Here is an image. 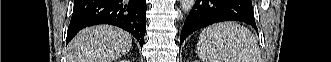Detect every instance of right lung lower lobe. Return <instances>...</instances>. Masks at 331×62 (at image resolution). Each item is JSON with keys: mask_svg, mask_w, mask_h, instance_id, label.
<instances>
[{"mask_svg": "<svg viewBox=\"0 0 331 62\" xmlns=\"http://www.w3.org/2000/svg\"><path fill=\"white\" fill-rule=\"evenodd\" d=\"M146 9V0H75L67 44L87 26L111 24L131 33L143 46Z\"/></svg>", "mask_w": 331, "mask_h": 62, "instance_id": "right-lung-lower-lobe-1", "label": "right lung lower lobe"}]
</instances>
